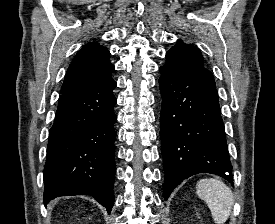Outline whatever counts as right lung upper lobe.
Segmentation results:
<instances>
[{
  "label": "right lung upper lobe",
  "mask_w": 275,
  "mask_h": 224,
  "mask_svg": "<svg viewBox=\"0 0 275 224\" xmlns=\"http://www.w3.org/2000/svg\"><path fill=\"white\" fill-rule=\"evenodd\" d=\"M110 52L98 42H90L79 50L71 62L61 94L84 89L111 79L114 65L109 61Z\"/></svg>",
  "instance_id": "1"
}]
</instances>
